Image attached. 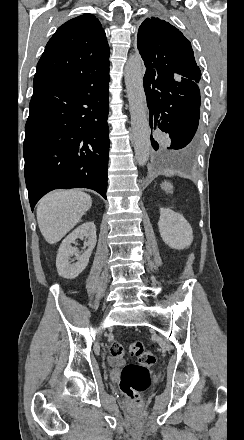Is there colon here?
I'll return each mask as SVG.
<instances>
[{"label":"colon","mask_w":244,"mask_h":440,"mask_svg":"<svg viewBox=\"0 0 244 440\" xmlns=\"http://www.w3.org/2000/svg\"><path fill=\"white\" fill-rule=\"evenodd\" d=\"M109 353L116 358L123 357L124 347L119 341H112L108 344ZM128 352L132 357L137 358V364L126 365L120 377V389L124 396L131 402L130 409L138 407L137 402L140 396L151 385V372L149 367L156 362L155 354L147 350L142 341H133L129 344Z\"/></svg>","instance_id":"obj_1"}]
</instances>
